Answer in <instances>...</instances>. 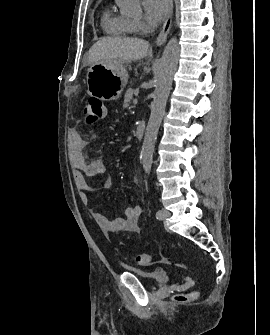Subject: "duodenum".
<instances>
[{
    "mask_svg": "<svg viewBox=\"0 0 270 335\" xmlns=\"http://www.w3.org/2000/svg\"><path fill=\"white\" fill-rule=\"evenodd\" d=\"M145 133V123L144 122H139L135 128V137L139 140H141L144 137Z\"/></svg>",
    "mask_w": 270,
    "mask_h": 335,
    "instance_id": "410a0bca",
    "label": "duodenum"
}]
</instances>
